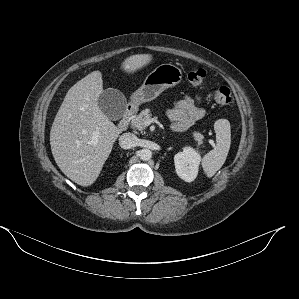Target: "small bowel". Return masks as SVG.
Returning <instances> with one entry per match:
<instances>
[{
    "instance_id": "c3829d8e",
    "label": "small bowel",
    "mask_w": 299,
    "mask_h": 299,
    "mask_svg": "<svg viewBox=\"0 0 299 299\" xmlns=\"http://www.w3.org/2000/svg\"><path fill=\"white\" fill-rule=\"evenodd\" d=\"M200 103V96L187 95L168 109L167 115L173 121L172 130L184 131L201 120L205 115V110Z\"/></svg>"
}]
</instances>
